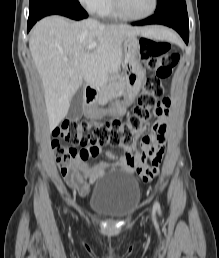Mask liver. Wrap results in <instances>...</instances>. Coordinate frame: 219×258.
<instances>
[{"instance_id": "obj_1", "label": "liver", "mask_w": 219, "mask_h": 258, "mask_svg": "<svg viewBox=\"0 0 219 258\" xmlns=\"http://www.w3.org/2000/svg\"><path fill=\"white\" fill-rule=\"evenodd\" d=\"M165 32L161 27L105 25L94 19L72 22L57 15L39 21L31 31L29 49L43 83L50 128L65 118L83 82L98 89L120 68L127 37L169 39ZM93 42L97 46L88 50Z\"/></svg>"}]
</instances>
